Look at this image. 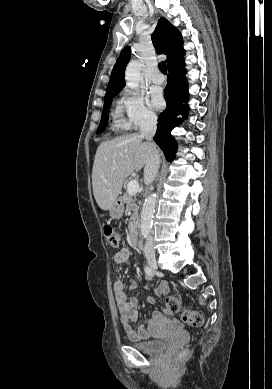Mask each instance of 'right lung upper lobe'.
Listing matches in <instances>:
<instances>
[{"label":"right lung upper lobe","instance_id":"cb5924a9","mask_svg":"<svg viewBox=\"0 0 272 389\" xmlns=\"http://www.w3.org/2000/svg\"><path fill=\"white\" fill-rule=\"evenodd\" d=\"M152 42L159 54L167 55L168 67L183 59L185 55L181 33L166 18L158 21L152 34ZM129 59L130 50L124 48L113 67L105 97L118 93L125 86L124 72Z\"/></svg>","mask_w":272,"mask_h":389}]
</instances>
